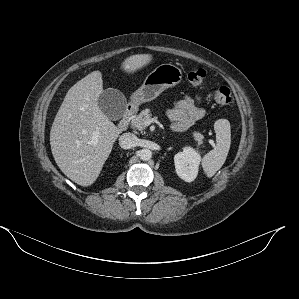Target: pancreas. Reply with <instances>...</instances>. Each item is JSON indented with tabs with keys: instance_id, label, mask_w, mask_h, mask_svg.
Masks as SVG:
<instances>
[{
	"instance_id": "1",
	"label": "pancreas",
	"mask_w": 299,
	"mask_h": 299,
	"mask_svg": "<svg viewBox=\"0 0 299 299\" xmlns=\"http://www.w3.org/2000/svg\"><path fill=\"white\" fill-rule=\"evenodd\" d=\"M151 118L150 109L142 110L140 114L133 117L131 120L132 126L139 131H144L146 128L145 121ZM193 138L198 145L203 143L204 136L199 132H193Z\"/></svg>"
}]
</instances>
